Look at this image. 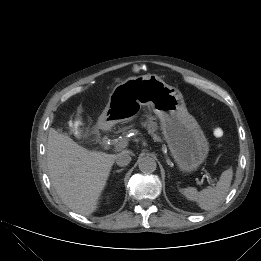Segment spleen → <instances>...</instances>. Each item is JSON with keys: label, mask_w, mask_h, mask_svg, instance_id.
Here are the masks:
<instances>
[{"label": "spleen", "mask_w": 261, "mask_h": 261, "mask_svg": "<svg viewBox=\"0 0 261 261\" xmlns=\"http://www.w3.org/2000/svg\"><path fill=\"white\" fill-rule=\"evenodd\" d=\"M233 177L232 169L222 172L216 186L208 187L198 192L194 187L183 190L184 196L191 201H195L203 210L209 211L216 208L227 196Z\"/></svg>", "instance_id": "obj_1"}]
</instances>
